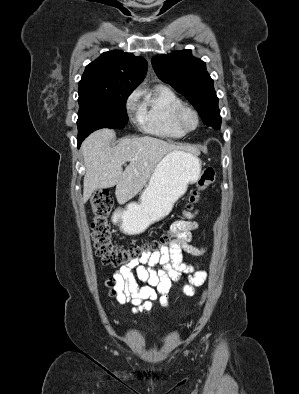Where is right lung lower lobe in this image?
Masks as SVG:
<instances>
[{"instance_id":"98d812e1","label":"right lung lower lobe","mask_w":299,"mask_h":394,"mask_svg":"<svg viewBox=\"0 0 299 394\" xmlns=\"http://www.w3.org/2000/svg\"><path fill=\"white\" fill-rule=\"evenodd\" d=\"M83 140H84L83 137L78 136V146H80V144L82 143Z\"/></svg>"}]
</instances>
